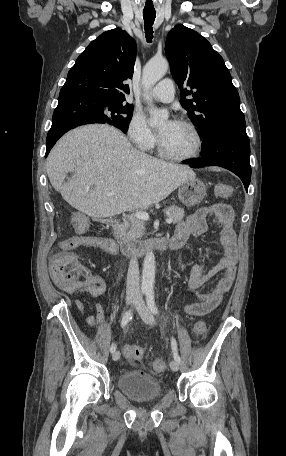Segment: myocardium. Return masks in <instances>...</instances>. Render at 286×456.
Here are the masks:
<instances>
[{
    "mask_svg": "<svg viewBox=\"0 0 286 456\" xmlns=\"http://www.w3.org/2000/svg\"><path fill=\"white\" fill-rule=\"evenodd\" d=\"M175 123L185 126L192 131V133L194 134L196 141H197L196 148H195L194 152L189 155L176 156V155L168 153L164 149L161 139H160V137H158L157 151H158L159 155L165 159L172 160V161H179V162L189 161V160L198 158L201 155L203 148H204V138H203L201 131L194 123L187 121V120L179 119V120H176Z\"/></svg>",
    "mask_w": 286,
    "mask_h": 456,
    "instance_id": "f54148a6",
    "label": "myocardium"
}]
</instances>
